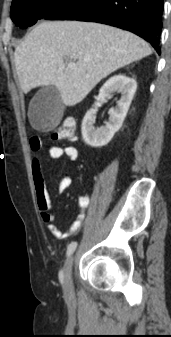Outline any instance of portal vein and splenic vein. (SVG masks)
Wrapping results in <instances>:
<instances>
[{
    "mask_svg": "<svg viewBox=\"0 0 171 337\" xmlns=\"http://www.w3.org/2000/svg\"><path fill=\"white\" fill-rule=\"evenodd\" d=\"M67 67L70 69H75L77 67L75 62L69 61Z\"/></svg>",
    "mask_w": 171,
    "mask_h": 337,
    "instance_id": "obj_1",
    "label": "portal vein and splenic vein"
}]
</instances>
